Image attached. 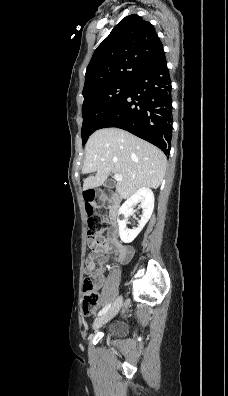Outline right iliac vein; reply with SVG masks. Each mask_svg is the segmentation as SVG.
I'll use <instances>...</instances> for the list:
<instances>
[{"mask_svg": "<svg viewBox=\"0 0 228 396\" xmlns=\"http://www.w3.org/2000/svg\"><path fill=\"white\" fill-rule=\"evenodd\" d=\"M122 307V297H118L112 307L99 318H97L93 323V328H99L102 325L106 324L110 321L116 314L119 312L120 308Z\"/></svg>", "mask_w": 228, "mask_h": 396, "instance_id": "1", "label": "right iliac vein"}]
</instances>
